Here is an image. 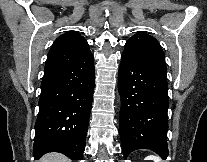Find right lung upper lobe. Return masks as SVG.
Returning a JSON list of instances; mask_svg holds the SVG:
<instances>
[{
    "instance_id": "right-lung-upper-lobe-1",
    "label": "right lung upper lobe",
    "mask_w": 207,
    "mask_h": 162,
    "mask_svg": "<svg viewBox=\"0 0 207 162\" xmlns=\"http://www.w3.org/2000/svg\"><path fill=\"white\" fill-rule=\"evenodd\" d=\"M88 43L78 32H67L53 43L46 61L45 72L66 67L90 57Z\"/></svg>"
}]
</instances>
